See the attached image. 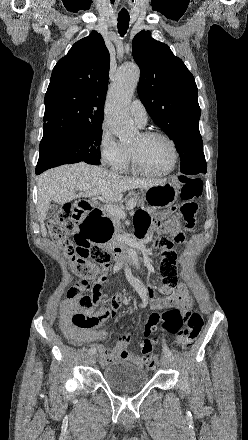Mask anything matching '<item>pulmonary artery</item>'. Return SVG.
Wrapping results in <instances>:
<instances>
[{
	"instance_id": "1",
	"label": "pulmonary artery",
	"mask_w": 248,
	"mask_h": 440,
	"mask_svg": "<svg viewBox=\"0 0 248 440\" xmlns=\"http://www.w3.org/2000/svg\"><path fill=\"white\" fill-rule=\"evenodd\" d=\"M130 113L132 117L134 118L135 122L140 126L143 127L146 125L148 120V113L146 111V108L144 107L143 103L136 99L134 100L130 105Z\"/></svg>"
}]
</instances>
